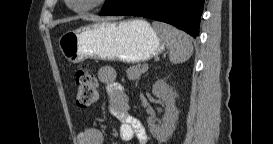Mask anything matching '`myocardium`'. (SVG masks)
<instances>
[{
  "instance_id": "1",
  "label": "myocardium",
  "mask_w": 273,
  "mask_h": 144,
  "mask_svg": "<svg viewBox=\"0 0 273 144\" xmlns=\"http://www.w3.org/2000/svg\"><path fill=\"white\" fill-rule=\"evenodd\" d=\"M69 1V0H68ZM109 0H91L87 5L82 7H75L74 11L85 13L103 7ZM72 2V0H70Z\"/></svg>"
}]
</instances>
